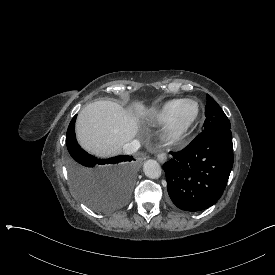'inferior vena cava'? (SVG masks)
Masks as SVG:
<instances>
[{"mask_svg":"<svg viewBox=\"0 0 275 275\" xmlns=\"http://www.w3.org/2000/svg\"><path fill=\"white\" fill-rule=\"evenodd\" d=\"M139 146L140 142L138 140H133L132 142L123 145V151L125 154L130 155L136 152Z\"/></svg>","mask_w":275,"mask_h":275,"instance_id":"602c4592","label":"inferior vena cava"}]
</instances>
